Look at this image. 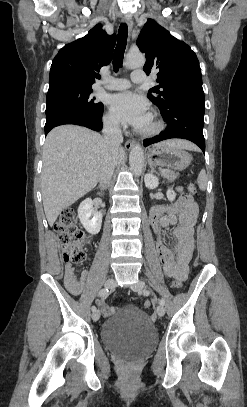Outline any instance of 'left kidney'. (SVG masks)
<instances>
[{
  "label": "left kidney",
  "instance_id": "1",
  "mask_svg": "<svg viewBox=\"0 0 247 407\" xmlns=\"http://www.w3.org/2000/svg\"><path fill=\"white\" fill-rule=\"evenodd\" d=\"M145 186L148 189H155L159 185V180L156 176L152 174H146L144 178ZM176 197L175 192L172 189H168L167 191V198L169 201H173Z\"/></svg>",
  "mask_w": 247,
  "mask_h": 407
}]
</instances>
